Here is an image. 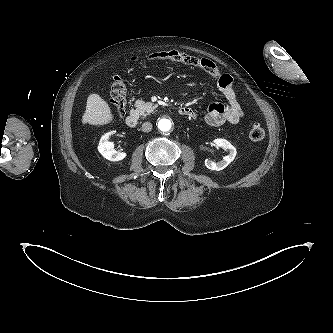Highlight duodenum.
I'll return each instance as SVG.
<instances>
[{"label":"duodenum","mask_w":333,"mask_h":333,"mask_svg":"<svg viewBox=\"0 0 333 333\" xmlns=\"http://www.w3.org/2000/svg\"><path fill=\"white\" fill-rule=\"evenodd\" d=\"M184 111H185V108H180V109H179V112H180L181 114H183ZM125 122H126V125H127L128 127H130V128H134V127H136L137 124H138V117H137V115H136L135 113H130V114L126 117Z\"/></svg>","instance_id":"410a0bca"}]
</instances>
